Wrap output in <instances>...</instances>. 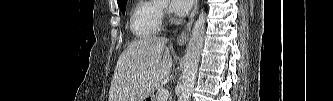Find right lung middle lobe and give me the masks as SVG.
<instances>
[{"label":"right lung middle lobe","mask_w":333,"mask_h":101,"mask_svg":"<svg viewBox=\"0 0 333 101\" xmlns=\"http://www.w3.org/2000/svg\"><path fill=\"white\" fill-rule=\"evenodd\" d=\"M119 7H120V10L122 11V13L124 14L125 13V8H126V1L119 4Z\"/></svg>","instance_id":"1"}]
</instances>
